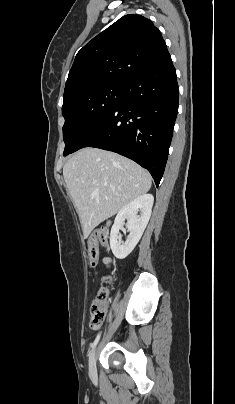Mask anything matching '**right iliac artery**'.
I'll return each instance as SVG.
<instances>
[{
	"label": "right iliac artery",
	"mask_w": 235,
	"mask_h": 404,
	"mask_svg": "<svg viewBox=\"0 0 235 404\" xmlns=\"http://www.w3.org/2000/svg\"><path fill=\"white\" fill-rule=\"evenodd\" d=\"M100 333L97 335V337L95 338V340L90 344V349L93 350L94 347L97 345L99 338H100Z\"/></svg>",
	"instance_id": "82829eb1"
}]
</instances>
